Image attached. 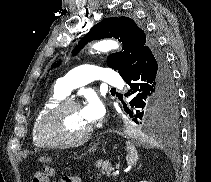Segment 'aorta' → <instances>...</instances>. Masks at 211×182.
I'll use <instances>...</instances> for the list:
<instances>
[{
	"label": "aorta",
	"instance_id": "762f6f07",
	"mask_svg": "<svg viewBox=\"0 0 211 182\" xmlns=\"http://www.w3.org/2000/svg\"><path fill=\"white\" fill-rule=\"evenodd\" d=\"M92 48L99 52H107L110 50L118 49L119 44H118V42H116L114 40L106 39V40H101V41L96 42L92 46Z\"/></svg>",
	"mask_w": 211,
	"mask_h": 182
}]
</instances>
